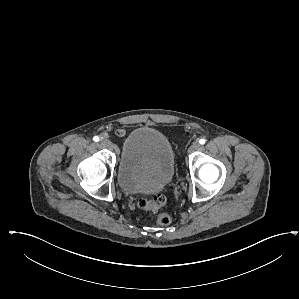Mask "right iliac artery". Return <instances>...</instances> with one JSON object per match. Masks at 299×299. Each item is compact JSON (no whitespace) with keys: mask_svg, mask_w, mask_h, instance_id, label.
<instances>
[{"mask_svg":"<svg viewBox=\"0 0 299 299\" xmlns=\"http://www.w3.org/2000/svg\"><path fill=\"white\" fill-rule=\"evenodd\" d=\"M93 140H94L95 142H98L100 139H99L98 136H94V137H93Z\"/></svg>","mask_w":299,"mask_h":299,"instance_id":"right-iliac-artery-1","label":"right iliac artery"}]
</instances>
